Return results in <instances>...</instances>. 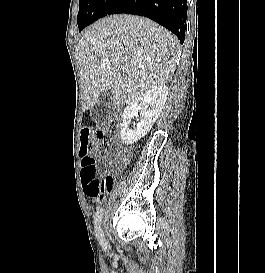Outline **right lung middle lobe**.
Wrapping results in <instances>:
<instances>
[{
  "label": "right lung middle lobe",
  "mask_w": 265,
  "mask_h": 273,
  "mask_svg": "<svg viewBox=\"0 0 265 273\" xmlns=\"http://www.w3.org/2000/svg\"><path fill=\"white\" fill-rule=\"evenodd\" d=\"M117 0H79V12L77 23L79 31L106 16L110 8Z\"/></svg>",
  "instance_id": "dd1d6c3e"
}]
</instances>
